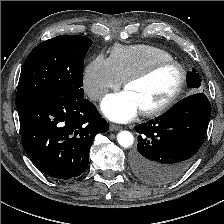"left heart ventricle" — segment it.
<instances>
[{
    "label": "left heart ventricle",
    "instance_id": "obj_1",
    "mask_svg": "<svg viewBox=\"0 0 224 224\" xmlns=\"http://www.w3.org/2000/svg\"><path fill=\"white\" fill-rule=\"evenodd\" d=\"M179 70L169 66L149 78L130 84L126 90L136 99L141 110L150 109L166 101L179 81Z\"/></svg>",
    "mask_w": 224,
    "mask_h": 224
}]
</instances>
